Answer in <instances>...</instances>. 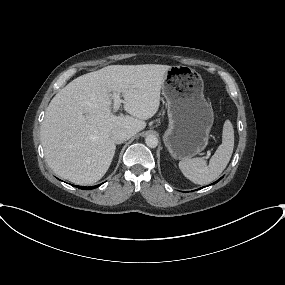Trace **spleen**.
Returning a JSON list of instances; mask_svg holds the SVG:
<instances>
[{
    "mask_svg": "<svg viewBox=\"0 0 285 285\" xmlns=\"http://www.w3.org/2000/svg\"><path fill=\"white\" fill-rule=\"evenodd\" d=\"M234 148V129L226 120L223 125L222 144L211 157L209 165L202 158L185 159L179 162V168L195 184H208L217 179L230 161Z\"/></svg>",
    "mask_w": 285,
    "mask_h": 285,
    "instance_id": "3e777b00",
    "label": "spleen"
}]
</instances>
